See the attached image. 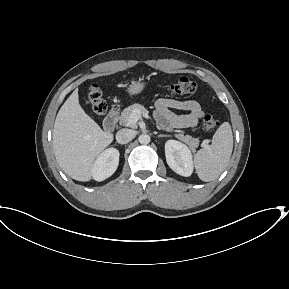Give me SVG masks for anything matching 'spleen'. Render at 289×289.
<instances>
[{
	"label": "spleen",
	"mask_w": 289,
	"mask_h": 289,
	"mask_svg": "<svg viewBox=\"0 0 289 289\" xmlns=\"http://www.w3.org/2000/svg\"><path fill=\"white\" fill-rule=\"evenodd\" d=\"M233 150V134L228 122H224L213 135L211 145L200 149L194 157L196 172L202 181L209 182L225 170Z\"/></svg>",
	"instance_id": "1"
}]
</instances>
